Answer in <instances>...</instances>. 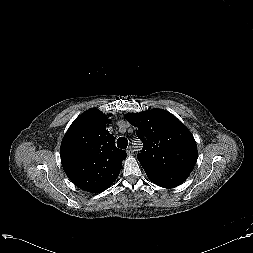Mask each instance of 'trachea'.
Returning a JSON list of instances; mask_svg holds the SVG:
<instances>
[{"label":"trachea","instance_id":"1","mask_svg":"<svg viewBox=\"0 0 253 253\" xmlns=\"http://www.w3.org/2000/svg\"><path fill=\"white\" fill-rule=\"evenodd\" d=\"M128 145V140L125 137H120L117 140V147L121 148V149H126Z\"/></svg>","mask_w":253,"mask_h":253}]
</instances>
